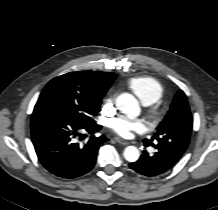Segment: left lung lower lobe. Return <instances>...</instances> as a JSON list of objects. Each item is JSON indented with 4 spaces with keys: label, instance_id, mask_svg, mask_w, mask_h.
I'll return each instance as SVG.
<instances>
[{
    "label": "left lung lower lobe",
    "instance_id": "obj_1",
    "mask_svg": "<svg viewBox=\"0 0 218 210\" xmlns=\"http://www.w3.org/2000/svg\"><path fill=\"white\" fill-rule=\"evenodd\" d=\"M145 146H153L156 150L149 154L143 151L138 161L130 163L131 169L145 176H157L171 169L183 155L181 152L168 153L163 151L160 145L144 140Z\"/></svg>",
    "mask_w": 218,
    "mask_h": 210
}]
</instances>
